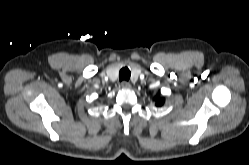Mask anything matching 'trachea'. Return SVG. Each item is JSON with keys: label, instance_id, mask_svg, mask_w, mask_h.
I'll return each instance as SVG.
<instances>
[{"label": "trachea", "instance_id": "trachea-1", "mask_svg": "<svg viewBox=\"0 0 249 165\" xmlns=\"http://www.w3.org/2000/svg\"><path fill=\"white\" fill-rule=\"evenodd\" d=\"M131 72L127 67H124L119 72V80L120 81H128L130 79Z\"/></svg>", "mask_w": 249, "mask_h": 165}]
</instances>
